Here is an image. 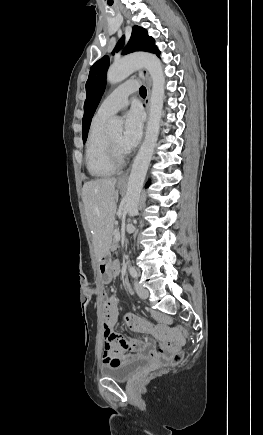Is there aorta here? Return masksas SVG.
I'll use <instances>...</instances> for the list:
<instances>
[{
  "mask_svg": "<svg viewBox=\"0 0 263 435\" xmlns=\"http://www.w3.org/2000/svg\"><path fill=\"white\" fill-rule=\"evenodd\" d=\"M139 68H145L149 72L153 84L145 139L134 159L127 184L125 209L132 217L138 212L144 180L158 139L165 95V75L159 58L148 53L124 57L111 65L107 72V82L116 84L126 79ZM107 131L109 133H121L122 120L119 118L112 119Z\"/></svg>",
  "mask_w": 263,
  "mask_h": 435,
  "instance_id": "1",
  "label": "aorta"
}]
</instances>
